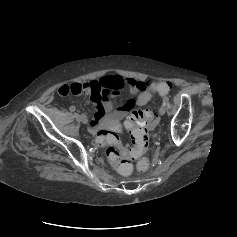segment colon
Returning a JSON list of instances; mask_svg holds the SVG:
<instances>
[{"instance_id": "obj_1", "label": "colon", "mask_w": 237, "mask_h": 237, "mask_svg": "<svg viewBox=\"0 0 237 237\" xmlns=\"http://www.w3.org/2000/svg\"><path fill=\"white\" fill-rule=\"evenodd\" d=\"M151 86L160 95L167 94L172 88V84L167 81H153ZM156 124L157 116L151 109L135 110L126 121L131 137V147L125 146L118 134L108 129L98 130L96 141L105 148L107 160L118 173L129 175L132 171V161H137L139 170H145L148 167V162L143 156L150 142L149 129Z\"/></svg>"}]
</instances>
